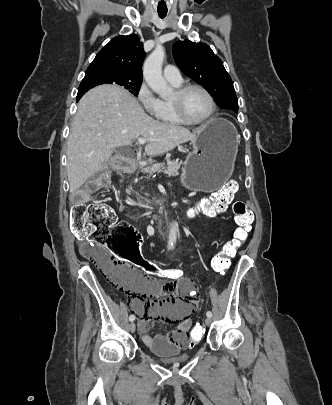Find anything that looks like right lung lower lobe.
Listing matches in <instances>:
<instances>
[{
  "mask_svg": "<svg viewBox=\"0 0 332 405\" xmlns=\"http://www.w3.org/2000/svg\"><path fill=\"white\" fill-rule=\"evenodd\" d=\"M84 94H85V93H78L77 98H76V101L78 102L79 99H80Z\"/></svg>",
  "mask_w": 332,
  "mask_h": 405,
  "instance_id": "98d812e1",
  "label": "right lung lower lobe"
}]
</instances>
